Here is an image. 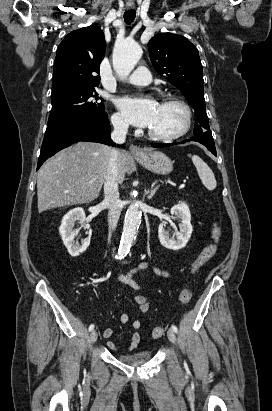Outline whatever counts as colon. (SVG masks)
I'll return each mask as SVG.
<instances>
[{"label":"colon","mask_w":272,"mask_h":411,"mask_svg":"<svg viewBox=\"0 0 272 411\" xmlns=\"http://www.w3.org/2000/svg\"><path fill=\"white\" fill-rule=\"evenodd\" d=\"M221 232L219 227L215 226L212 230L213 244L205 248L192 262L191 273H195L202 265L210 261L217 253L218 242L220 240ZM192 298L191 289L186 286L180 293L179 301L181 304H187ZM164 327H154L151 332V336L154 339L160 338L164 335Z\"/></svg>","instance_id":"colon-1"}]
</instances>
